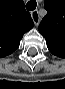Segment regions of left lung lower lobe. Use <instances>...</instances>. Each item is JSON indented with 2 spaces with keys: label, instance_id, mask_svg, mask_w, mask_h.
Wrapping results in <instances>:
<instances>
[{
  "label": "left lung lower lobe",
  "instance_id": "left-lung-lower-lobe-1",
  "mask_svg": "<svg viewBox=\"0 0 65 89\" xmlns=\"http://www.w3.org/2000/svg\"><path fill=\"white\" fill-rule=\"evenodd\" d=\"M49 51L57 57L65 58V46L53 43H47Z\"/></svg>",
  "mask_w": 65,
  "mask_h": 89
}]
</instances>
